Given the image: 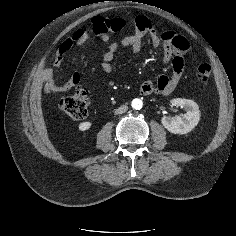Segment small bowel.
<instances>
[{
	"instance_id": "1",
	"label": "small bowel",
	"mask_w": 236,
	"mask_h": 236,
	"mask_svg": "<svg viewBox=\"0 0 236 236\" xmlns=\"http://www.w3.org/2000/svg\"><path fill=\"white\" fill-rule=\"evenodd\" d=\"M93 33L103 43L108 44L100 65L104 73L112 72V61L120 46L130 47L134 53H138L142 48L143 40L146 36L150 37L154 47L163 46L162 60L165 63L171 64L172 73L169 76L160 75L155 83L151 81L143 82L140 86V93L142 95H151L154 93L168 95L174 91L181 80L184 72V56L189 51V43L185 37L178 35L176 32L165 31L158 33L151 21L144 17L135 23V31L124 36L120 41H112L110 31H105L102 27L93 29ZM90 38L91 35L89 33L79 30L72 38L66 39L60 45L54 57L52 67L45 68L42 72L45 90L48 93L58 94L79 84L80 76L77 73H74L66 82L59 83L54 76V70L62 66L64 56L67 52Z\"/></svg>"
}]
</instances>
